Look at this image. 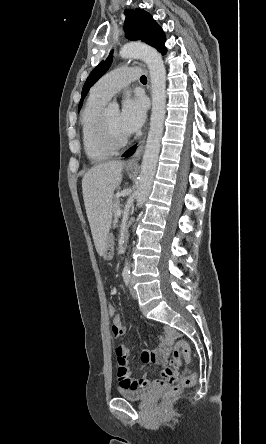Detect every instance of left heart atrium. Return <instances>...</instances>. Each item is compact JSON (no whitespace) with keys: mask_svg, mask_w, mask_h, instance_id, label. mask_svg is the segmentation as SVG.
<instances>
[{"mask_svg":"<svg viewBox=\"0 0 266 444\" xmlns=\"http://www.w3.org/2000/svg\"><path fill=\"white\" fill-rule=\"evenodd\" d=\"M146 117V104L141 97L127 98L119 113V123L130 135L140 129Z\"/></svg>","mask_w":266,"mask_h":444,"instance_id":"left-heart-atrium-1","label":"left heart atrium"}]
</instances>
